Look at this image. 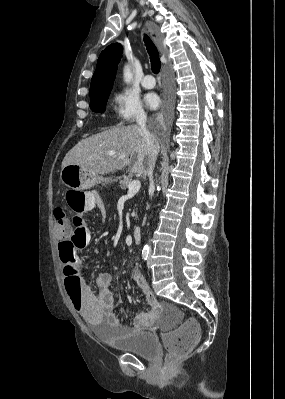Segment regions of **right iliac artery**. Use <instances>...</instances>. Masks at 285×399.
Instances as JSON below:
<instances>
[{
  "label": "right iliac artery",
  "instance_id": "obj_1",
  "mask_svg": "<svg viewBox=\"0 0 285 399\" xmlns=\"http://www.w3.org/2000/svg\"><path fill=\"white\" fill-rule=\"evenodd\" d=\"M142 257H143V259H144L145 261L148 259V257H149V248L145 247V248L142 250Z\"/></svg>",
  "mask_w": 285,
  "mask_h": 399
}]
</instances>
